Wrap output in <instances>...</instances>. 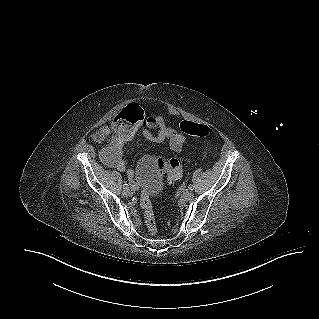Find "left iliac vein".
<instances>
[{
  "label": "left iliac vein",
  "mask_w": 319,
  "mask_h": 319,
  "mask_svg": "<svg viewBox=\"0 0 319 319\" xmlns=\"http://www.w3.org/2000/svg\"><path fill=\"white\" fill-rule=\"evenodd\" d=\"M193 197H194V194L190 191L185 192L182 196L183 200L187 202L193 200Z\"/></svg>",
  "instance_id": "1"
}]
</instances>
